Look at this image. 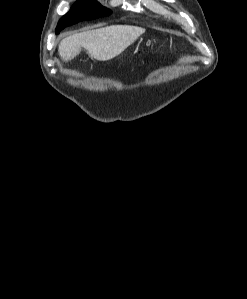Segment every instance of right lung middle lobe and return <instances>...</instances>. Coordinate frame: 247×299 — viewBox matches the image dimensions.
Returning <instances> with one entry per match:
<instances>
[{
    "mask_svg": "<svg viewBox=\"0 0 247 299\" xmlns=\"http://www.w3.org/2000/svg\"><path fill=\"white\" fill-rule=\"evenodd\" d=\"M111 11L94 0H78L58 22L56 33L83 20H92L109 15Z\"/></svg>",
    "mask_w": 247,
    "mask_h": 299,
    "instance_id": "right-lung-middle-lobe-1",
    "label": "right lung middle lobe"
}]
</instances>
